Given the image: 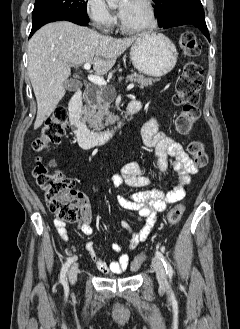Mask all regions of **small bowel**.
<instances>
[{
	"label": "small bowel",
	"mask_w": 240,
	"mask_h": 329,
	"mask_svg": "<svg viewBox=\"0 0 240 329\" xmlns=\"http://www.w3.org/2000/svg\"><path fill=\"white\" fill-rule=\"evenodd\" d=\"M135 101L140 109L143 105L142 102L140 100ZM142 141L145 147L153 149L159 174L166 175L171 169L177 173V177L173 180L174 184L167 191L150 187L151 178L146 174L144 167L137 162L124 165L120 173L111 177L110 183L114 187L126 183L131 187L141 189L135 193L118 196L119 204L127 210L138 213L143 222V227L139 230L134 229L126 220L121 222V226L131 236L127 244L129 250L136 249L140 243L147 239L155 225L156 216L159 212L166 210L169 206L184 198L185 187L191 182L192 175L198 171L194 161L184 151L183 147L160 130L156 118L150 119L143 126ZM80 207V228L84 235L91 236L94 229L91 225L90 205L87 201L82 200ZM54 225L59 236L63 240H67L65 223L56 220ZM85 249L90 253L95 266L101 272L120 274L129 265L130 257L127 253H122L116 260L106 263L92 242H86ZM112 249L120 253L123 247L119 243H113Z\"/></svg>",
	"instance_id": "small-bowel-1"
}]
</instances>
